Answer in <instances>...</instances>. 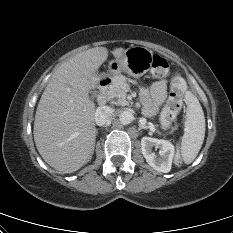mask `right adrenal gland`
Segmentation results:
<instances>
[{
  "label": "right adrenal gland",
  "instance_id": "right-adrenal-gland-1",
  "mask_svg": "<svg viewBox=\"0 0 233 233\" xmlns=\"http://www.w3.org/2000/svg\"><path fill=\"white\" fill-rule=\"evenodd\" d=\"M98 134V130H96V135Z\"/></svg>",
  "mask_w": 233,
  "mask_h": 233
}]
</instances>
